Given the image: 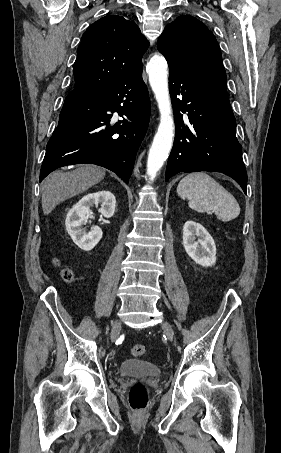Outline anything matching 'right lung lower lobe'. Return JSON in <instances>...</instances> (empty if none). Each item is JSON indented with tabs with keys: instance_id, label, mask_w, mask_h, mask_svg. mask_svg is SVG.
Here are the masks:
<instances>
[{
	"instance_id": "1",
	"label": "right lung lower lobe",
	"mask_w": 281,
	"mask_h": 453,
	"mask_svg": "<svg viewBox=\"0 0 281 453\" xmlns=\"http://www.w3.org/2000/svg\"><path fill=\"white\" fill-rule=\"evenodd\" d=\"M114 112L123 120L110 123ZM149 118L142 64L113 84L75 87L47 144L40 182L59 167L88 163L110 169L128 183Z\"/></svg>"
}]
</instances>
